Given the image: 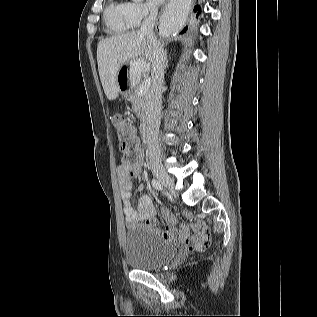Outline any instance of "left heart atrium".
Listing matches in <instances>:
<instances>
[{"mask_svg":"<svg viewBox=\"0 0 317 317\" xmlns=\"http://www.w3.org/2000/svg\"><path fill=\"white\" fill-rule=\"evenodd\" d=\"M164 0H151V2L155 5H159L163 2Z\"/></svg>","mask_w":317,"mask_h":317,"instance_id":"obj_1","label":"left heart atrium"}]
</instances>
